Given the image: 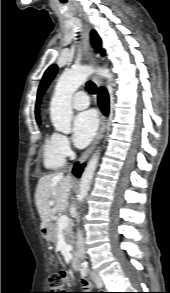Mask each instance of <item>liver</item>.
Returning a JSON list of instances; mask_svg holds the SVG:
<instances>
[{
	"mask_svg": "<svg viewBox=\"0 0 170 293\" xmlns=\"http://www.w3.org/2000/svg\"><path fill=\"white\" fill-rule=\"evenodd\" d=\"M74 180L64 173L48 174L38 181L35 193V203L41 218V229L50 226L51 220L58 212H64L68 207L70 190ZM53 201V205L49 202Z\"/></svg>",
	"mask_w": 170,
	"mask_h": 293,
	"instance_id": "6515ba94",
	"label": "liver"
}]
</instances>
